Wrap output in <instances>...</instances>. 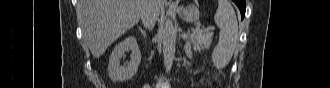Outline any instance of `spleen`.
Listing matches in <instances>:
<instances>
[{
	"instance_id": "3e777b00",
	"label": "spleen",
	"mask_w": 330,
	"mask_h": 88,
	"mask_svg": "<svg viewBox=\"0 0 330 88\" xmlns=\"http://www.w3.org/2000/svg\"><path fill=\"white\" fill-rule=\"evenodd\" d=\"M220 28L219 42L212 53V61L217 68H224L231 60L238 43V22L235 11L228 0H219L214 16Z\"/></svg>"
}]
</instances>
